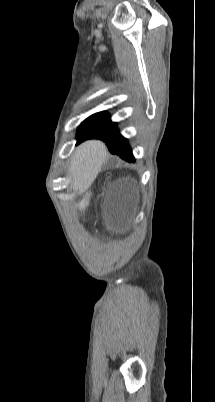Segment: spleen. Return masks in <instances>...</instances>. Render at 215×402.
<instances>
[{
  "label": "spleen",
  "instance_id": "3e777b00",
  "mask_svg": "<svg viewBox=\"0 0 215 402\" xmlns=\"http://www.w3.org/2000/svg\"><path fill=\"white\" fill-rule=\"evenodd\" d=\"M99 141L93 139L91 143H82L78 153L79 165H75V174L80 182H91L104 160L105 153Z\"/></svg>",
  "mask_w": 215,
  "mask_h": 402
}]
</instances>
